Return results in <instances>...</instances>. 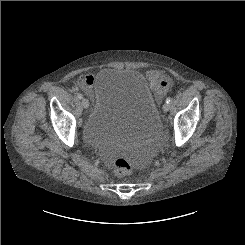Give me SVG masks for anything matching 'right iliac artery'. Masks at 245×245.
Instances as JSON below:
<instances>
[{
  "label": "right iliac artery",
  "instance_id": "obj_1",
  "mask_svg": "<svg viewBox=\"0 0 245 245\" xmlns=\"http://www.w3.org/2000/svg\"><path fill=\"white\" fill-rule=\"evenodd\" d=\"M77 97H78L79 99H82V98H83V95H82L81 93H78V94H77Z\"/></svg>",
  "mask_w": 245,
  "mask_h": 245
}]
</instances>
